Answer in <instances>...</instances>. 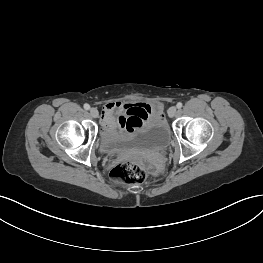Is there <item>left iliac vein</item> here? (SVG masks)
I'll list each match as a JSON object with an SVG mask.
<instances>
[{
  "label": "left iliac vein",
  "instance_id": "left-iliac-vein-1",
  "mask_svg": "<svg viewBox=\"0 0 263 263\" xmlns=\"http://www.w3.org/2000/svg\"><path fill=\"white\" fill-rule=\"evenodd\" d=\"M176 113H177V108L175 106H172L169 108V110H168L169 117H171V118L174 117L176 115Z\"/></svg>",
  "mask_w": 263,
  "mask_h": 263
}]
</instances>
